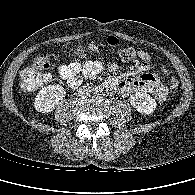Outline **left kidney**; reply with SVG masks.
<instances>
[{"instance_id": "obj_1", "label": "left kidney", "mask_w": 195, "mask_h": 195, "mask_svg": "<svg viewBox=\"0 0 195 195\" xmlns=\"http://www.w3.org/2000/svg\"><path fill=\"white\" fill-rule=\"evenodd\" d=\"M130 104L140 113L151 114L155 111L157 103L149 94L136 92L130 96Z\"/></svg>"}]
</instances>
